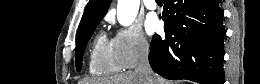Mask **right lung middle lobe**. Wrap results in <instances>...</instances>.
I'll list each match as a JSON object with an SVG mask.
<instances>
[{
  "mask_svg": "<svg viewBox=\"0 0 260 84\" xmlns=\"http://www.w3.org/2000/svg\"><path fill=\"white\" fill-rule=\"evenodd\" d=\"M97 21L90 25L86 30H84L76 39V49H75V61L77 70L81 69L82 56L86 47L88 40L94 32L95 27L99 24Z\"/></svg>",
  "mask_w": 260,
  "mask_h": 84,
  "instance_id": "dd1d6c3e",
  "label": "right lung middle lobe"
}]
</instances>
